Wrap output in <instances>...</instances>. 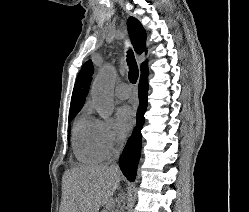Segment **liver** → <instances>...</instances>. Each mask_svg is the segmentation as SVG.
Segmentation results:
<instances>
[{"mask_svg": "<svg viewBox=\"0 0 249 212\" xmlns=\"http://www.w3.org/2000/svg\"><path fill=\"white\" fill-rule=\"evenodd\" d=\"M121 176L119 168L108 164L67 170L64 176L66 212H99V208H106L119 188Z\"/></svg>", "mask_w": 249, "mask_h": 212, "instance_id": "obj_1", "label": "liver"}]
</instances>
